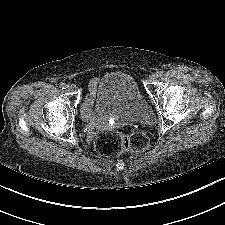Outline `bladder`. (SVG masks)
I'll use <instances>...</instances> for the list:
<instances>
[{"label":"bladder","instance_id":"obj_1","mask_svg":"<svg viewBox=\"0 0 225 225\" xmlns=\"http://www.w3.org/2000/svg\"><path fill=\"white\" fill-rule=\"evenodd\" d=\"M94 106L98 116L103 118L139 123L153 119V112L135 79L126 72H110L97 81Z\"/></svg>","mask_w":225,"mask_h":225}]
</instances>
